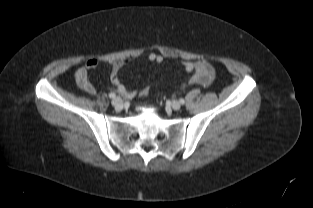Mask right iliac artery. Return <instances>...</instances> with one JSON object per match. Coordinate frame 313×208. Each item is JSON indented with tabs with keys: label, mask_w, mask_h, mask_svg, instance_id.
Here are the masks:
<instances>
[{
	"label": "right iliac artery",
	"mask_w": 313,
	"mask_h": 208,
	"mask_svg": "<svg viewBox=\"0 0 313 208\" xmlns=\"http://www.w3.org/2000/svg\"><path fill=\"white\" fill-rule=\"evenodd\" d=\"M109 97H110V98H115V97H116V94H115L114 92H111V93L109 94Z\"/></svg>",
	"instance_id": "82829eb1"
}]
</instances>
